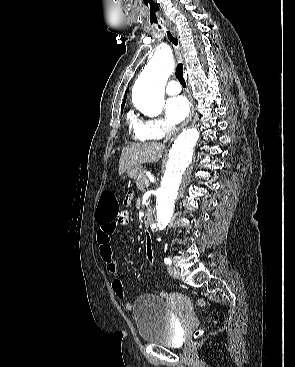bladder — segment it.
<instances>
[{
	"mask_svg": "<svg viewBox=\"0 0 295 367\" xmlns=\"http://www.w3.org/2000/svg\"><path fill=\"white\" fill-rule=\"evenodd\" d=\"M133 316L142 341L168 347L178 345L180 328L163 298L150 294L138 297L133 305Z\"/></svg>",
	"mask_w": 295,
	"mask_h": 367,
	"instance_id": "31cf9c89",
	"label": "bladder"
}]
</instances>
